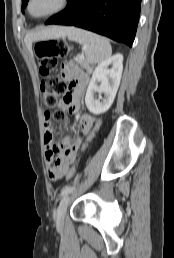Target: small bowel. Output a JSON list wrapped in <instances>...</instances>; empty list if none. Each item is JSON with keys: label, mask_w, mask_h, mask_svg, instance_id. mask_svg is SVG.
Wrapping results in <instances>:
<instances>
[{"label": "small bowel", "mask_w": 174, "mask_h": 258, "mask_svg": "<svg viewBox=\"0 0 174 258\" xmlns=\"http://www.w3.org/2000/svg\"><path fill=\"white\" fill-rule=\"evenodd\" d=\"M61 75L64 78L73 81L74 86L71 93L67 95L60 102V106L69 110L70 112H76L80 106V98L83 91L89 82V75L83 71L75 61H66L61 65ZM86 117H91V112L85 113ZM45 158L49 164V178L50 183H63L64 175L68 174L67 168H71V162L75 161L76 153L80 146V139L69 141L64 139L62 141H56L52 134V124L49 121L48 116L45 113ZM79 127H81V134H90L95 118H79ZM63 153L58 156L61 152Z\"/></svg>", "instance_id": "c3829d8e"}]
</instances>
